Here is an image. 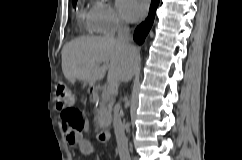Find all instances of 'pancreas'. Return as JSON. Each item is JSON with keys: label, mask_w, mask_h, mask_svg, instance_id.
<instances>
[{"label": "pancreas", "mask_w": 242, "mask_h": 160, "mask_svg": "<svg viewBox=\"0 0 242 160\" xmlns=\"http://www.w3.org/2000/svg\"><path fill=\"white\" fill-rule=\"evenodd\" d=\"M95 99H99L98 95H95ZM112 115H111V106L109 99H104L102 97L99 108L95 111L94 122L96 129H101L104 127H109L111 124Z\"/></svg>", "instance_id": "obj_1"}]
</instances>
